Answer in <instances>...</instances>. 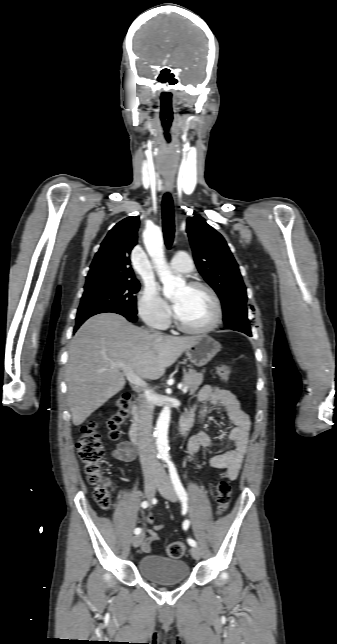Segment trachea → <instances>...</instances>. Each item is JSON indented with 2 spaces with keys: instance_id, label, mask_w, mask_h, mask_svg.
<instances>
[{
  "instance_id": "1",
  "label": "trachea",
  "mask_w": 337,
  "mask_h": 644,
  "mask_svg": "<svg viewBox=\"0 0 337 644\" xmlns=\"http://www.w3.org/2000/svg\"><path fill=\"white\" fill-rule=\"evenodd\" d=\"M162 223L165 245L170 247L173 243L175 233L173 201L170 193H165L163 196Z\"/></svg>"
}]
</instances>
